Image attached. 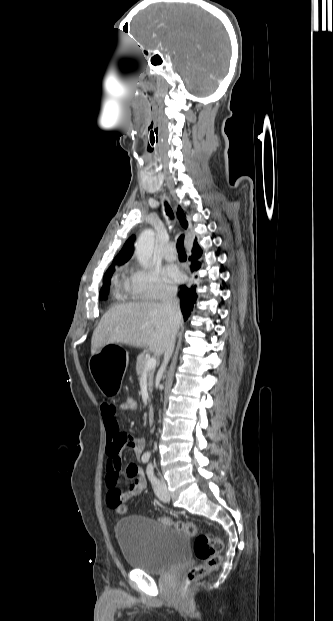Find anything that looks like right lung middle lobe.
<instances>
[{
  "label": "right lung middle lobe",
  "mask_w": 333,
  "mask_h": 621,
  "mask_svg": "<svg viewBox=\"0 0 333 621\" xmlns=\"http://www.w3.org/2000/svg\"><path fill=\"white\" fill-rule=\"evenodd\" d=\"M115 268L110 267L103 277V287L100 290L99 298L101 300H106L109 294V286H110V278L114 272Z\"/></svg>",
  "instance_id": "obj_1"
}]
</instances>
